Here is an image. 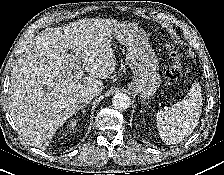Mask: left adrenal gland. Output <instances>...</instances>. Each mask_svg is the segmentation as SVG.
I'll list each match as a JSON object with an SVG mask.
<instances>
[{
    "label": "left adrenal gland",
    "instance_id": "left-adrenal-gland-1",
    "mask_svg": "<svg viewBox=\"0 0 224 175\" xmlns=\"http://www.w3.org/2000/svg\"><path fill=\"white\" fill-rule=\"evenodd\" d=\"M142 103H143V104H145V105H148V103H147V102H145L144 100H142Z\"/></svg>",
    "mask_w": 224,
    "mask_h": 175
}]
</instances>
